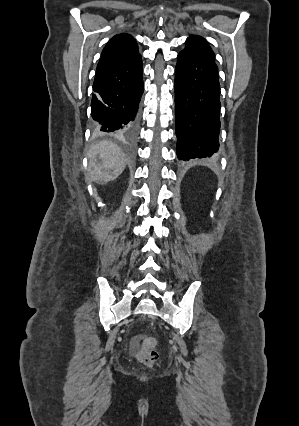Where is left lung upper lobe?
<instances>
[{"instance_id": "5c2ea615", "label": "left lung upper lobe", "mask_w": 299, "mask_h": 426, "mask_svg": "<svg viewBox=\"0 0 299 426\" xmlns=\"http://www.w3.org/2000/svg\"><path fill=\"white\" fill-rule=\"evenodd\" d=\"M184 50L188 52H200L206 54L214 60V52L211 50L206 39L202 38L201 36L192 35L187 38L186 47Z\"/></svg>"}]
</instances>
